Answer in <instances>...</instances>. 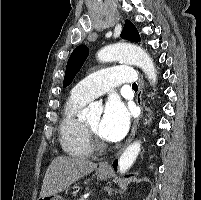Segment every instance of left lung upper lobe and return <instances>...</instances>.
Masks as SVG:
<instances>
[{"instance_id":"1","label":"left lung upper lobe","mask_w":201,"mask_h":200,"mask_svg":"<svg viewBox=\"0 0 201 200\" xmlns=\"http://www.w3.org/2000/svg\"><path fill=\"white\" fill-rule=\"evenodd\" d=\"M121 37L133 42L140 41V36L136 27L129 20L125 21L124 28L121 32ZM88 54V47L85 45H80L74 49L67 62L63 87L68 86L73 81L74 76L82 67Z\"/></svg>"}]
</instances>
